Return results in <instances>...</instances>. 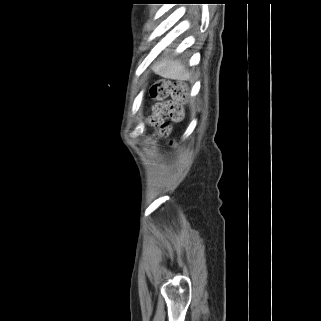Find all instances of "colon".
I'll return each mask as SVG.
<instances>
[{
  "label": "colon",
  "instance_id": "5ec220e1",
  "mask_svg": "<svg viewBox=\"0 0 321 321\" xmlns=\"http://www.w3.org/2000/svg\"><path fill=\"white\" fill-rule=\"evenodd\" d=\"M188 84L185 82H158L151 89V96L155 99H171L159 104L152 122L163 132L170 130L168 120L180 121L184 114V102L187 96Z\"/></svg>",
  "mask_w": 321,
  "mask_h": 321
}]
</instances>
